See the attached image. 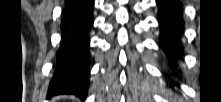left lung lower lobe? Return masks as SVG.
Returning a JSON list of instances; mask_svg holds the SVG:
<instances>
[{
    "label": "left lung lower lobe",
    "mask_w": 221,
    "mask_h": 102,
    "mask_svg": "<svg viewBox=\"0 0 221 102\" xmlns=\"http://www.w3.org/2000/svg\"><path fill=\"white\" fill-rule=\"evenodd\" d=\"M158 17L161 27L159 45L174 65L182 56L181 34L184 23L177 0H158Z\"/></svg>",
    "instance_id": "obj_1"
}]
</instances>
